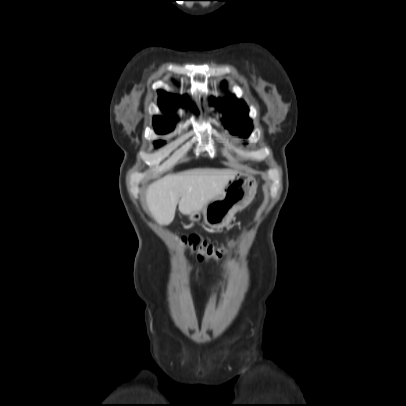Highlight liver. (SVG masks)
Segmentation results:
<instances>
[{"label":"liver","instance_id":"liver-1","mask_svg":"<svg viewBox=\"0 0 406 406\" xmlns=\"http://www.w3.org/2000/svg\"><path fill=\"white\" fill-rule=\"evenodd\" d=\"M237 173L234 169L204 168L167 175L148 187V210L159 224H170L177 205L184 215L201 211L210 200L223 192Z\"/></svg>","mask_w":406,"mask_h":406}]
</instances>
